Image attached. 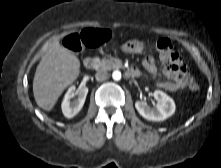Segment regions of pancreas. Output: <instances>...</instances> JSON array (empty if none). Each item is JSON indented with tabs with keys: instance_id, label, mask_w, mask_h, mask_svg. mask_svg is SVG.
<instances>
[{
	"instance_id": "1",
	"label": "pancreas",
	"mask_w": 221,
	"mask_h": 168,
	"mask_svg": "<svg viewBox=\"0 0 221 168\" xmlns=\"http://www.w3.org/2000/svg\"><path fill=\"white\" fill-rule=\"evenodd\" d=\"M94 64L96 65L97 70H111L118 68L113 60H108L106 58L100 59L98 57L93 59Z\"/></svg>"
}]
</instances>
